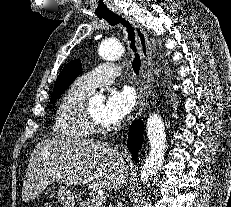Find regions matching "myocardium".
<instances>
[{
    "label": "myocardium",
    "instance_id": "obj_1",
    "mask_svg": "<svg viewBox=\"0 0 231 207\" xmlns=\"http://www.w3.org/2000/svg\"><path fill=\"white\" fill-rule=\"evenodd\" d=\"M84 118L94 133H104L109 130L107 124L93 118L87 107H84Z\"/></svg>",
    "mask_w": 231,
    "mask_h": 207
}]
</instances>
